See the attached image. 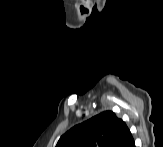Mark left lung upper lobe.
<instances>
[{
    "mask_svg": "<svg viewBox=\"0 0 163 147\" xmlns=\"http://www.w3.org/2000/svg\"><path fill=\"white\" fill-rule=\"evenodd\" d=\"M127 128L114 112L105 111L71 128L56 147H115Z\"/></svg>",
    "mask_w": 163,
    "mask_h": 147,
    "instance_id": "1",
    "label": "left lung upper lobe"
}]
</instances>
